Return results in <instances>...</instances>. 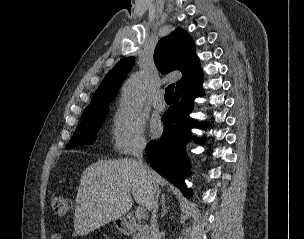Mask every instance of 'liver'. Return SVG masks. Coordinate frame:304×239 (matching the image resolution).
Listing matches in <instances>:
<instances>
[{"label": "liver", "instance_id": "6515ba94", "mask_svg": "<svg viewBox=\"0 0 304 239\" xmlns=\"http://www.w3.org/2000/svg\"><path fill=\"white\" fill-rule=\"evenodd\" d=\"M149 170L157 187L166 185L163 177ZM132 196L138 204L151 210L150 182L135 160H98L89 165L83 171L76 197V234L85 236L122 218L133 205Z\"/></svg>", "mask_w": 304, "mask_h": 239}]
</instances>
